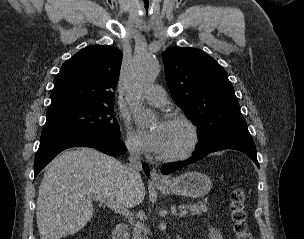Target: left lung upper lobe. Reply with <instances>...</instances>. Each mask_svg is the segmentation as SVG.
I'll list each match as a JSON object with an SVG mask.
<instances>
[{"instance_id": "obj_1", "label": "left lung upper lobe", "mask_w": 304, "mask_h": 239, "mask_svg": "<svg viewBox=\"0 0 304 239\" xmlns=\"http://www.w3.org/2000/svg\"><path fill=\"white\" fill-rule=\"evenodd\" d=\"M162 58L173 99L199 128L200 147L225 138H251L228 75L212 57L176 47Z\"/></svg>"}]
</instances>
